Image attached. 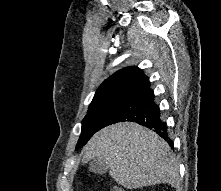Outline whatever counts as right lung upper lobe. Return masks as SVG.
Segmentation results:
<instances>
[{"label":"right lung upper lobe","mask_w":221,"mask_h":191,"mask_svg":"<svg viewBox=\"0 0 221 191\" xmlns=\"http://www.w3.org/2000/svg\"><path fill=\"white\" fill-rule=\"evenodd\" d=\"M146 77L138 67H126L107 78L97 89L90 106L120 100L133 88L146 82Z\"/></svg>","instance_id":"1"}]
</instances>
